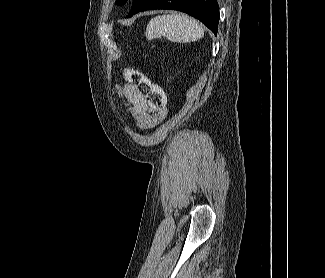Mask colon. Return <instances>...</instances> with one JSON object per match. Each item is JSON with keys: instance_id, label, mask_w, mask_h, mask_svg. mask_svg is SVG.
<instances>
[{"instance_id": "obj_1", "label": "colon", "mask_w": 325, "mask_h": 278, "mask_svg": "<svg viewBox=\"0 0 325 278\" xmlns=\"http://www.w3.org/2000/svg\"><path fill=\"white\" fill-rule=\"evenodd\" d=\"M126 80L135 86L146 99L149 107L154 111H165L166 99L162 88L152 82L140 71L128 68L125 71Z\"/></svg>"}]
</instances>
